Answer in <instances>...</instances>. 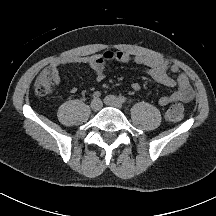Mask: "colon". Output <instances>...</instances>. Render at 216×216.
<instances>
[{
  "mask_svg": "<svg viewBox=\"0 0 216 216\" xmlns=\"http://www.w3.org/2000/svg\"><path fill=\"white\" fill-rule=\"evenodd\" d=\"M54 76L50 71H43L35 80L33 91L37 97H45L53 91ZM184 107L181 103H174L166 112L170 122H178L183 118Z\"/></svg>",
  "mask_w": 216,
  "mask_h": 216,
  "instance_id": "5ec220e1",
  "label": "colon"
}]
</instances>
